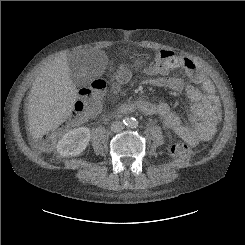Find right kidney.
Masks as SVG:
<instances>
[{"label": "right kidney", "instance_id": "obj_1", "mask_svg": "<svg viewBox=\"0 0 245 245\" xmlns=\"http://www.w3.org/2000/svg\"><path fill=\"white\" fill-rule=\"evenodd\" d=\"M90 141V130L79 127L67 132L59 140L56 148L60 156H76L82 153Z\"/></svg>", "mask_w": 245, "mask_h": 245}]
</instances>
